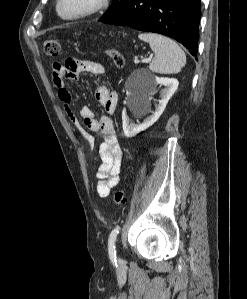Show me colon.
<instances>
[{
	"mask_svg": "<svg viewBox=\"0 0 247 299\" xmlns=\"http://www.w3.org/2000/svg\"><path fill=\"white\" fill-rule=\"evenodd\" d=\"M44 51L46 55L51 57H56L60 52V43L56 39H47L44 41ZM107 56L112 60L113 64L117 68H122L124 66L125 60L123 55L117 50H107ZM113 201L116 205H123L127 202V196L124 190L119 189L113 193Z\"/></svg>",
	"mask_w": 247,
	"mask_h": 299,
	"instance_id": "obj_1",
	"label": "colon"
}]
</instances>
